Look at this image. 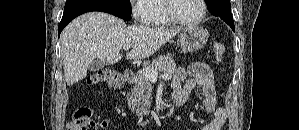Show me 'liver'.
Listing matches in <instances>:
<instances>
[{
	"label": "liver",
	"instance_id": "1",
	"mask_svg": "<svg viewBox=\"0 0 299 130\" xmlns=\"http://www.w3.org/2000/svg\"><path fill=\"white\" fill-rule=\"evenodd\" d=\"M179 28L126 27L123 20L103 12L85 13L66 26L60 38L67 85L87 76L89 64L99 58L109 64L121 60L120 50L130 45L126 58L144 59L174 38Z\"/></svg>",
	"mask_w": 299,
	"mask_h": 130
}]
</instances>
